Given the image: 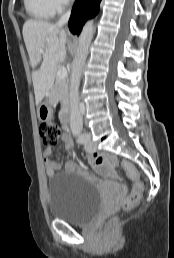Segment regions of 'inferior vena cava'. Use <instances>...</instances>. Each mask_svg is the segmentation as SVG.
<instances>
[{"mask_svg":"<svg viewBox=\"0 0 174 258\" xmlns=\"http://www.w3.org/2000/svg\"><path fill=\"white\" fill-rule=\"evenodd\" d=\"M69 17H70V10H69L67 13H65V14L59 19V21L57 22V25L61 27L62 25H64L65 23H67L68 20H69Z\"/></svg>","mask_w":174,"mask_h":258,"instance_id":"602c4592","label":"inferior vena cava"}]
</instances>
